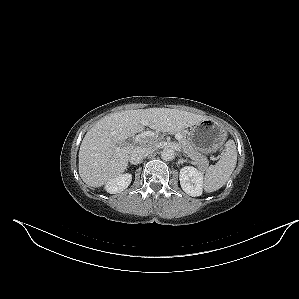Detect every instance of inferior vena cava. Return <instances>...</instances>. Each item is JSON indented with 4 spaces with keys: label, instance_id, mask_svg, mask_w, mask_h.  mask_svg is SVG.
Listing matches in <instances>:
<instances>
[{
    "label": "inferior vena cava",
    "instance_id": "inferior-vena-cava-1",
    "mask_svg": "<svg viewBox=\"0 0 299 299\" xmlns=\"http://www.w3.org/2000/svg\"><path fill=\"white\" fill-rule=\"evenodd\" d=\"M151 150V147L137 146L134 147L129 153V162L137 165L143 161L145 155Z\"/></svg>",
    "mask_w": 299,
    "mask_h": 299
}]
</instances>
